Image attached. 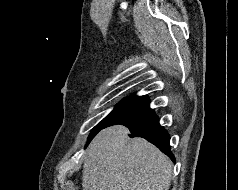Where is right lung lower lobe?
Wrapping results in <instances>:
<instances>
[{"label":"right lung lower lobe","instance_id":"1","mask_svg":"<svg viewBox=\"0 0 238 190\" xmlns=\"http://www.w3.org/2000/svg\"><path fill=\"white\" fill-rule=\"evenodd\" d=\"M122 125L130 130V137L140 136L145 138L169 156L172 161H175V157L170 150V136L160 125L158 116L153 110H149L137 118L124 122Z\"/></svg>","mask_w":238,"mask_h":190}]
</instances>
